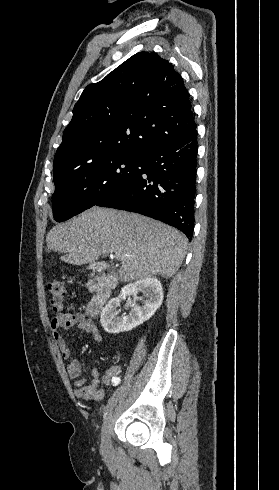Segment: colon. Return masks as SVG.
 <instances>
[{
  "label": "colon",
  "instance_id": "5ec220e1",
  "mask_svg": "<svg viewBox=\"0 0 279 490\" xmlns=\"http://www.w3.org/2000/svg\"><path fill=\"white\" fill-rule=\"evenodd\" d=\"M47 290L52 298L54 310L62 311L64 304V283L60 280H50L47 283Z\"/></svg>",
  "mask_w": 279,
  "mask_h": 490
}]
</instances>
